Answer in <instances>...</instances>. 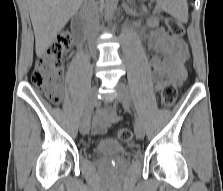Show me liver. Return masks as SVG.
<instances>
[{"instance_id":"1","label":"liver","mask_w":223,"mask_h":191,"mask_svg":"<svg viewBox=\"0 0 223 191\" xmlns=\"http://www.w3.org/2000/svg\"><path fill=\"white\" fill-rule=\"evenodd\" d=\"M84 0H27L35 33L36 54L41 57L58 33L78 12Z\"/></svg>"}]
</instances>
